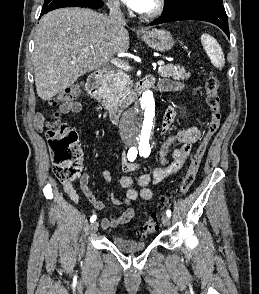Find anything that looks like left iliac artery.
I'll return each instance as SVG.
<instances>
[{
	"label": "left iliac artery",
	"instance_id": "obj_1",
	"mask_svg": "<svg viewBox=\"0 0 259 294\" xmlns=\"http://www.w3.org/2000/svg\"><path fill=\"white\" fill-rule=\"evenodd\" d=\"M139 153H140V156H143V157H148L149 156V154H150V151H151V148H150V145H149V143H143V144H141L140 145V147H139ZM166 215L168 216V217H171V210H167L166 211Z\"/></svg>",
	"mask_w": 259,
	"mask_h": 294
}]
</instances>
